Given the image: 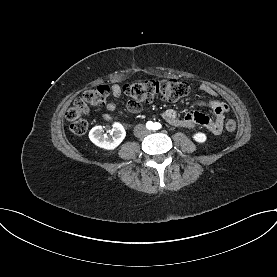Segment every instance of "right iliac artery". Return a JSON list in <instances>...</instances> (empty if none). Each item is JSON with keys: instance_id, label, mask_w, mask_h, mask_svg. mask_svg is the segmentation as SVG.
<instances>
[{"instance_id": "obj_1", "label": "right iliac artery", "mask_w": 277, "mask_h": 277, "mask_svg": "<svg viewBox=\"0 0 277 277\" xmlns=\"http://www.w3.org/2000/svg\"><path fill=\"white\" fill-rule=\"evenodd\" d=\"M147 127H148V128H152V127H153V123H152V122H148V123H147Z\"/></svg>"}]
</instances>
